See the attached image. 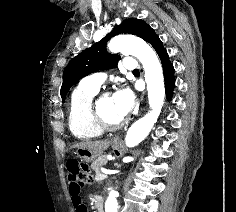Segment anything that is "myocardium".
I'll list each match as a JSON object with an SVG mask.
<instances>
[{
	"label": "myocardium",
	"mask_w": 236,
	"mask_h": 212,
	"mask_svg": "<svg viewBox=\"0 0 236 212\" xmlns=\"http://www.w3.org/2000/svg\"><path fill=\"white\" fill-rule=\"evenodd\" d=\"M109 95H111L110 90H103L102 92H100L92 104V112L96 122L104 131H115L122 128L127 121L125 119H122L121 121L118 122H110L103 116V114L100 111L99 104L103 98Z\"/></svg>",
	"instance_id": "f54148a6"
}]
</instances>
